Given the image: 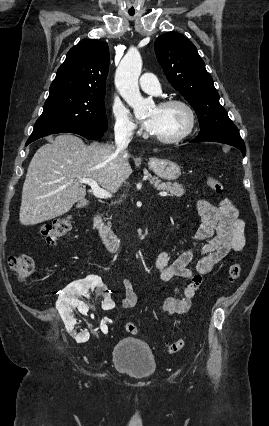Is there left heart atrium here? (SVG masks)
<instances>
[{"mask_svg":"<svg viewBox=\"0 0 269 426\" xmlns=\"http://www.w3.org/2000/svg\"><path fill=\"white\" fill-rule=\"evenodd\" d=\"M153 120L151 118H148L144 121V126L149 130L152 126Z\"/></svg>","mask_w":269,"mask_h":426,"instance_id":"obj_1","label":"left heart atrium"}]
</instances>
